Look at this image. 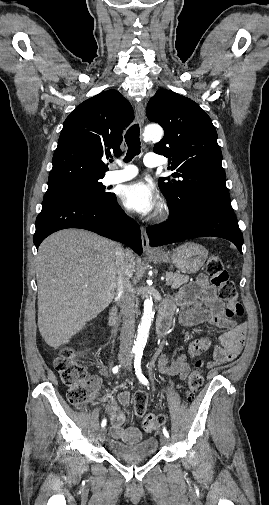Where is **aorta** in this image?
I'll return each instance as SVG.
<instances>
[{
	"label": "aorta",
	"mask_w": 269,
	"mask_h": 505,
	"mask_svg": "<svg viewBox=\"0 0 269 505\" xmlns=\"http://www.w3.org/2000/svg\"><path fill=\"white\" fill-rule=\"evenodd\" d=\"M163 137V129L159 125H148L144 129V138L147 141H159ZM153 300L146 298L144 301V310L141 323L138 326V333L134 342L133 349L136 352H142L149 335V330L153 320Z\"/></svg>",
	"instance_id": "aorta-1"
}]
</instances>
